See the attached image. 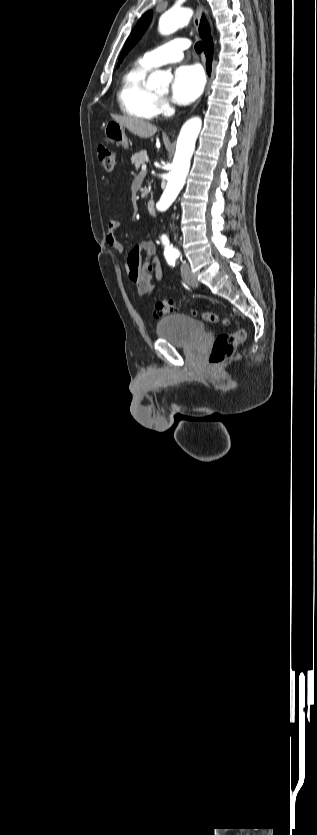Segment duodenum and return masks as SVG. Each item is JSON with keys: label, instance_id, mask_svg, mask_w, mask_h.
I'll return each instance as SVG.
<instances>
[{"label": "duodenum", "instance_id": "duodenum-1", "mask_svg": "<svg viewBox=\"0 0 317 835\" xmlns=\"http://www.w3.org/2000/svg\"><path fill=\"white\" fill-rule=\"evenodd\" d=\"M147 211H148L150 214H154V213H155V201H154V200H149V201L147 202Z\"/></svg>", "mask_w": 317, "mask_h": 835}]
</instances>
